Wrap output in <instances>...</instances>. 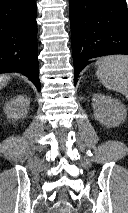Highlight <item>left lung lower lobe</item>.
<instances>
[{
    "label": "left lung lower lobe",
    "mask_w": 128,
    "mask_h": 213,
    "mask_svg": "<svg viewBox=\"0 0 128 213\" xmlns=\"http://www.w3.org/2000/svg\"><path fill=\"white\" fill-rule=\"evenodd\" d=\"M75 85L80 71L95 57L128 55L125 0H69Z\"/></svg>",
    "instance_id": "0a47b994"
}]
</instances>
